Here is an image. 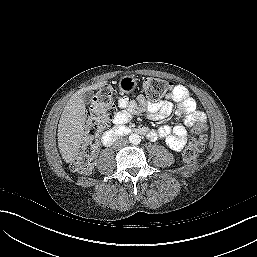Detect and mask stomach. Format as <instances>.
<instances>
[{
	"mask_svg": "<svg viewBox=\"0 0 257 257\" xmlns=\"http://www.w3.org/2000/svg\"><path fill=\"white\" fill-rule=\"evenodd\" d=\"M137 86V79L132 75L123 76L119 81V88L122 93H130Z\"/></svg>",
	"mask_w": 257,
	"mask_h": 257,
	"instance_id": "obj_1",
	"label": "stomach"
}]
</instances>
